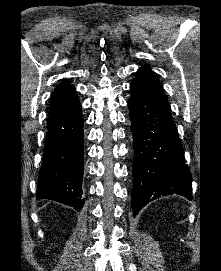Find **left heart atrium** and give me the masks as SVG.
Listing matches in <instances>:
<instances>
[{
  "instance_id": "1",
  "label": "left heart atrium",
  "mask_w": 221,
  "mask_h": 271,
  "mask_svg": "<svg viewBox=\"0 0 221 271\" xmlns=\"http://www.w3.org/2000/svg\"><path fill=\"white\" fill-rule=\"evenodd\" d=\"M99 87H103L102 85H100ZM95 94H108V92H94V96Z\"/></svg>"
}]
</instances>
